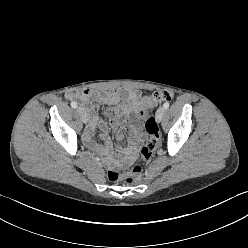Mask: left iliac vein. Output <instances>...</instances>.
Instances as JSON below:
<instances>
[{
    "label": "left iliac vein",
    "instance_id": "left-iliac-vein-1",
    "mask_svg": "<svg viewBox=\"0 0 248 248\" xmlns=\"http://www.w3.org/2000/svg\"><path fill=\"white\" fill-rule=\"evenodd\" d=\"M164 114H165V108L164 107H159L158 110L156 111V120H157V122H161Z\"/></svg>",
    "mask_w": 248,
    "mask_h": 248
}]
</instances>
